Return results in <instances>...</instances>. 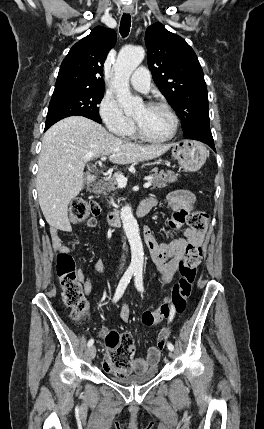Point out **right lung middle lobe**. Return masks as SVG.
Returning a JSON list of instances; mask_svg holds the SVG:
<instances>
[{
    "mask_svg": "<svg viewBox=\"0 0 264 429\" xmlns=\"http://www.w3.org/2000/svg\"><path fill=\"white\" fill-rule=\"evenodd\" d=\"M104 90L63 88L54 90L46 118L45 129L57 121L74 115L84 116L101 123L99 107Z\"/></svg>",
    "mask_w": 264,
    "mask_h": 429,
    "instance_id": "obj_1",
    "label": "right lung middle lobe"
}]
</instances>
